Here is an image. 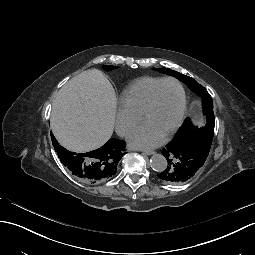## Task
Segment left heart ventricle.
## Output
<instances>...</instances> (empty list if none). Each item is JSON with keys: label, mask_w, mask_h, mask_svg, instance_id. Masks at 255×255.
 <instances>
[{"label": "left heart ventricle", "mask_w": 255, "mask_h": 255, "mask_svg": "<svg viewBox=\"0 0 255 255\" xmlns=\"http://www.w3.org/2000/svg\"><path fill=\"white\" fill-rule=\"evenodd\" d=\"M181 91L175 83H164L156 92L153 106L142 124L164 138L176 123L181 108Z\"/></svg>", "instance_id": "1"}]
</instances>
